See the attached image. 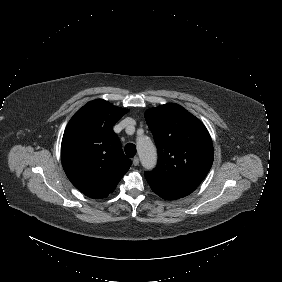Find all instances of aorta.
<instances>
[{
	"instance_id": "aorta-1",
	"label": "aorta",
	"mask_w": 282,
	"mask_h": 282,
	"mask_svg": "<svg viewBox=\"0 0 282 282\" xmlns=\"http://www.w3.org/2000/svg\"><path fill=\"white\" fill-rule=\"evenodd\" d=\"M136 148L139 154L142 166L151 170L157 163L156 147L148 136H139L136 141Z\"/></svg>"
}]
</instances>
